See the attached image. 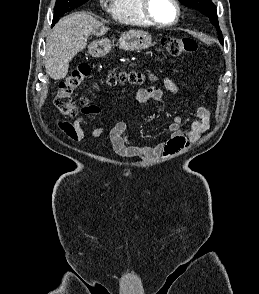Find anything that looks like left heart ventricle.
I'll return each mask as SVG.
<instances>
[{
	"instance_id": "b2bd125f",
	"label": "left heart ventricle",
	"mask_w": 259,
	"mask_h": 294,
	"mask_svg": "<svg viewBox=\"0 0 259 294\" xmlns=\"http://www.w3.org/2000/svg\"><path fill=\"white\" fill-rule=\"evenodd\" d=\"M150 11L153 17L162 23L172 22L176 15V11L171 0H151Z\"/></svg>"
}]
</instances>
